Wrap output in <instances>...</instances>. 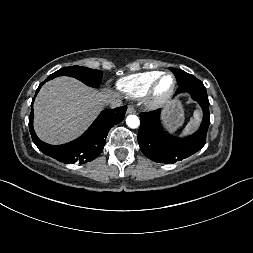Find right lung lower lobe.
<instances>
[{
  "instance_id": "98d812e1",
  "label": "right lung lower lobe",
  "mask_w": 253,
  "mask_h": 253,
  "mask_svg": "<svg viewBox=\"0 0 253 253\" xmlns=\"http://www.w3.org/2000/svg\"><path fill=\"white\" fill-rule=\"evenodd\" d=\"M48 80H50V78H47L39 85L38 89L36 90V94L41 86ZM34 99L32 100L31 106L33 105ZM126 110V106L104 110L82 136L70 143L54 146L42 142L36 136L33 128V108L31 107V114L29 116V130L33 142L43 153L63 163L78 162L83 164L94 160L101 154L109 130L123 120Z\"/></svg>"
}]
</instances>
